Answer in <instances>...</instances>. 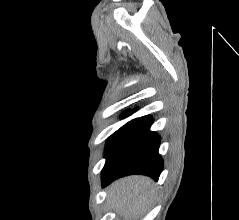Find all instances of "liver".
<instances>
[{
    "label": "liver",
    "mask_w": 239,
    "mask_h": 220,
    "mask_svg": "<svg viewBox=\"0 0 239 220\" xmlns=\"http://www.w3.org/2000/svg\"><path fill=\"white\" fill-rule=\"evenodd\" d=\"M109 200L119 214L138 220L146 212L153 194L151 180L143 176L119 179L109 187Z\"/></svg>",
    "instance_id": "6515ba94"
}]
</instances>
